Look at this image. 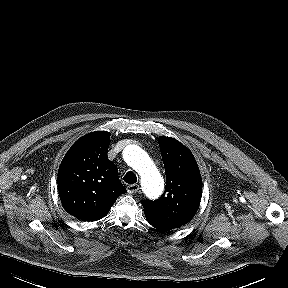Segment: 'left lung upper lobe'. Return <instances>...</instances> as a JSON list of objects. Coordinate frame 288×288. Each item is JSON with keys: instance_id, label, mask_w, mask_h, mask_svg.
<instances>
[{"instance_id": "obj_1", "label": "left lung upper lobe", "mask_w": 288, "mask_h": 288, "mask_svg": "<svg viewBox=\"0 0 288 288\" xmlns=\"http://www.w3.org/2000/svg\"><path fill=\"white\" fill-rule=\"evenodd\" d=\"M166 172L163 195L141 203L146 217L170 229L180 228L194 217L202 195V179L196 161L181 142L174 138H159Z\"/></svg>"}]
</instances>
